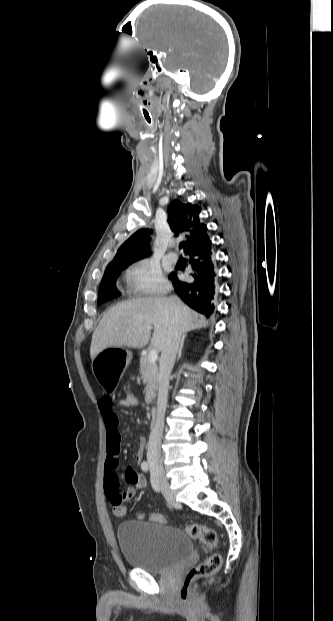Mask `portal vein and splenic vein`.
Here are the masks:
<instances>
[{
	"label": "portal vein and splenic vein",
	"mask_w": 333,
	"mask_h": 621,
	"mask_svg": "<svg viewBox=\"0 0 333 621\" xmlns=\"http://www.w3.org/2000/svg\"><path fill=\"white\" fill-rule=\"evenodd\" d=\"M139 331H141V328H139ZM148 359L150 363H155L157 361L158 353L155 349L150 350L148 354Z\"/></svg>",
	"instance_id": "portal-vein-and-splenic-vein-1"
}]
</instances>
